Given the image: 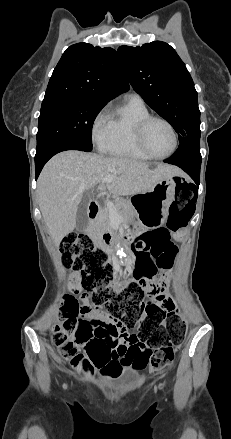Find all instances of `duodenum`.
Segmentation results:
<instances>
[{"label":"duodenum","instance_id":"obj_1","mask_svg":"<svg viewBox=\"0 0 231 439\" xmlns=\"http://www.w3.org/2000/svg\"><path fill=\"white\" fill-rule=\"evenodd\" d=\"M97 212H98V204L93 201L89 204V216H90L91 221L96 220ZM112 238H113L112 233L105 232L102 236L103 245H105V246L109 245Z\"/></svg>","mask_w":231,"mask_h":439}]
</instances>
